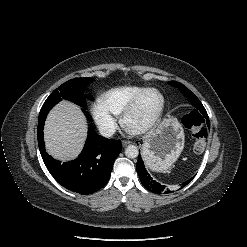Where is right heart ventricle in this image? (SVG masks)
<instances>
[{"instance_id":"1","label":"right heart ventricle","mask_w":247,"mask_h":247,"mask_svg":"<svg viewBox=\"0 0 247 247\" xmlns=\"http://www.w3.org/2000/svg\"><path fill=\"white\" fill-rule=\"evenodd\" d=\"M145 88L136 85L116 87L103 93L100 101L113 115H120L130 101Z\"/></svg>"}]
</instances>
